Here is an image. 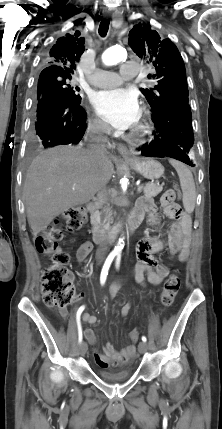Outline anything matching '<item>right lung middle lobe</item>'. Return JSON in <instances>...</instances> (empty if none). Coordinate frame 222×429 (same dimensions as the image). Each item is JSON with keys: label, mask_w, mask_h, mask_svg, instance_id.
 Segmentation results:
<instances>
[{"label": "right lung middle lobe", "mask_w": 222, "mask_h": 429, "mask_svg": "<svg viewBox=\"0 0 222 429\" xmlns=\"http://www.w3.org/2000/svg\"><path fill=\"white\" fill-rule=\"evenodd\" d=\"M71 75H40L37 83V99L48 89L55 88L65 92L70 98L74 100H81L80 95L76 91L80 89L70 85Z\"/></svg>", "instance_id": "1"}]
</instances>
